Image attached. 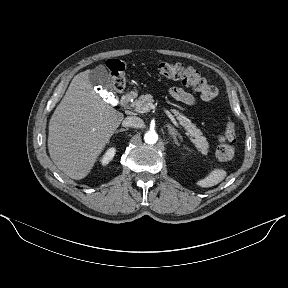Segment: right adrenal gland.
<instances>
[{
  "mask_svg": "<svg viewBox=\"0 0 288 288\" xmlns=\"http://www.w3.org/2000/svg\"><path fill=\"white\" fill-rule=\"evenodd\" d=\"M128 129H124V128H121L119 130H117L115 133H119V132H123V131H127Z\"/></svg>",
  "mask_w": 288,
  "mask_h": 288,
  "instance_id": "1",
  "label": "right adrenal gland"
}]
</instances>
